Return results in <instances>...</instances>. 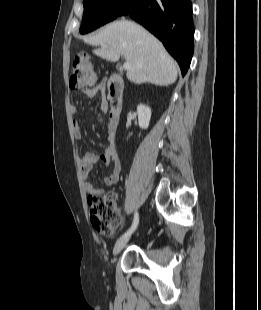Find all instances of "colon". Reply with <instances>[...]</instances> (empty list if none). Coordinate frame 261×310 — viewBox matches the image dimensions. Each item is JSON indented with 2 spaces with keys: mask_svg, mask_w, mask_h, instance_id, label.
<instances>
[{
  "mask_svg": "<svg viewBox=\"0 0 261 310\" xmlns=\"http://www.w3.org/2000/svg\"><path fill=\"white\" fill-rule=\"evenodd\" d=\"M97 80L98 74L90 58L86 55L75 56L71 64V89L82 90L92 87ZM88 205L93 227L101 234L113 235L120 225L115 207V194L109 192L104 195H90Z\"/></svg>",
  "mask_w": 261,
  "mask_h": 310,
  "instance_id": "5ec220e1",
  "label": "colon"
}]
</instances>
